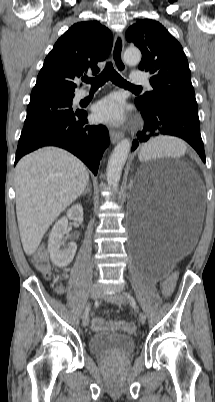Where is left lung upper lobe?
<instances>
[{"label":"left lung upper lobe","instance_id":"1","mask_svg":"<svg viewBox=\"0 0 215 402\" xmlns=\"http://www.w3.org/2000/svg\"><path fill=\"white\" fill-rule=\"evenodd\" d=\"M142 53L139 69L152 75L153 91L137 99L169 102L198 113L191 72L180 43L159 22L140 19L126 32Z\"/></svg>","mask_w":215,"mask_h":402}]
</instances>
